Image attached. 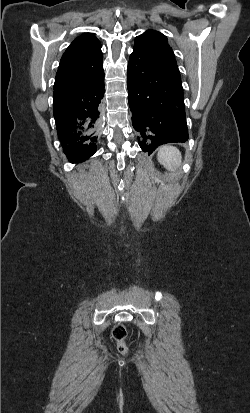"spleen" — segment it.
<instances>
[{"mask_svg": "<svg viewBox=\"0 0 250 413\" xmlns=\"http://www.w3.org/2000/svg\"><path fill=\"white\" fill-rule=\"evenodd\" d=\"M157 159L167 170L175 172L181 166V152L174 146H162L157 154Z\"/></svg>", "mask_w": 250, "mask_h": 413, "instance_id": "1", "label": "spleen"}]
</instances>
